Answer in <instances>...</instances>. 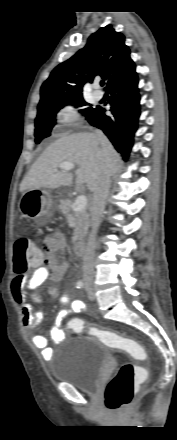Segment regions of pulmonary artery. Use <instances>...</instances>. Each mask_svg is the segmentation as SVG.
<instances>
[{"label":"pulmonary artery","instance_id":"obj_1","mask_svg":"<svg viewBox=\"0 0 177 440\" xmlns=\"http://www.w3.org/2000/svg\"><path fill=\"white\" fill-rule=\"evenodd\" d=\"M93 97H94L95 100L98 101V100L102 99V97H103V93L100 92V91H95V92L93 93Z\"/></svg>","mask_w":177,"mask_h":440}]
</instances>
